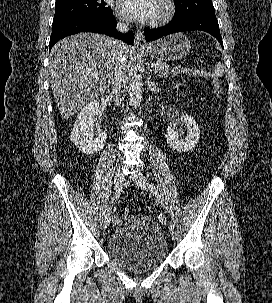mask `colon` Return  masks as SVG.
<instances>
[{
  "label": "colon",
  "instance_id": "obj_1",
  "mask_svg": "<svg viewBox=\"0 0 272 303\" xmlns=\"http://www.w3.org/2000/svg\"><path fill=\"white\" fill-rule=\"evenodd\" d=\"M171 72L175 76H190L201 78H212L210 71L202 68H189L181 63H176L172 66ZM214 88L216 95L219 97L222 94V86L219 80L213 78ZM130 210L128 208L123 209V214L128 215Z\"/></svg>",
  "mask_w": 272,
  "mask_h": 303
}]
</instances>
